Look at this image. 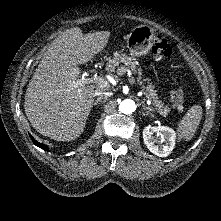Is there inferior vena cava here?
<instances>
[{"mask_svg": "<svg viewBox=\"0 0 221 221\" xmlns=\"http://www.w3.org/2000/svg\"><path fill=\"white\" fill-rule=\"evenodd\" d=\"M95 95L99 96V98H102L105 95V92H102L100 90H95Z\"/></svg>", "mask_w": 221, "mask_h": 221, "instance_id": "602c4592", "label": "inferior vena cava"}]
</instances>
